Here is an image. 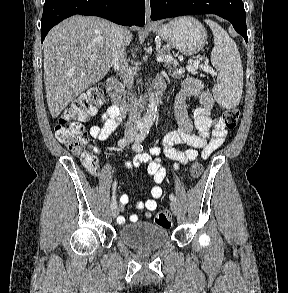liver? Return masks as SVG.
Listing matches in <instances>:
<instances>
[{
    "instance_id": "liver-1",
    "label": "liver",
    "mask_w": 288,
    "mask_h": 293,
    "mask_svg": "<svg viewBox=\"0 0 288 293\" xmlns=\"http://www.w3.org/2000/svg\"><path fill=\"white\" fill-rule=\"evenodd\" d=\"M118 27L99 17L75 15L50 30L44 41V82L53 118L109 72ZM131 39L126 29L125 46Z\"/></svg>"
}]
</instances>
